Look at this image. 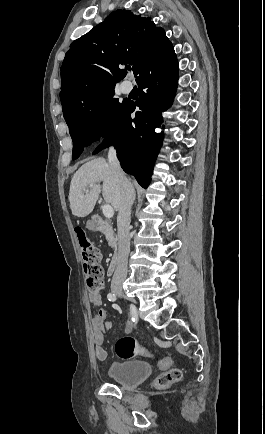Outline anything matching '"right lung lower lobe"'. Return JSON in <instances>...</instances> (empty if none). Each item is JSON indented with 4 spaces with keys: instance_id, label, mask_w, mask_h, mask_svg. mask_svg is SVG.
Listing matches in <instances>:
<instances>
[{
    "instance_id": "right-lung-lower-lobe-1",
    "label": "right lung lower lobe",
    "mask_w": 265,
    "mask_h": 434,
    "mask_svg": "<svg viewBox=\"0 0 265 434\" xmlns=\"http://www.w3.org/2000/svg\"><path fill=\"white\" fill-rule=\"evenodd\" d=\"M136 81L139 99L130 103L124 119L105 137L103 144H114L123 170L147 188L162 140V134L155 133L154 128L162 123L161 111L172 104L177 87L178 62L174 50L146 63ZM136 106L140 111L132 119ZM102 149L99 146L94 154Z\"/></svg>"
}]
</instances>
